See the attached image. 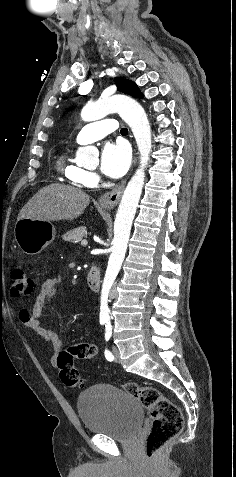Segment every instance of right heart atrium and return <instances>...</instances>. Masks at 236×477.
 <instances>
[{
	"label": "right heart atrium",
	"instance_id": "1",
	"mask_svg": "<svg viewBox=\"0 0 236 477\" xmlns=\"http://www.w3.org/2000/svg\"><path fill=\"white\" fill-rule=\"evenodd\" d=\"M98 176L95 173H89L87 184H93L97 181Z\"/></svg>",
	"mask_w": 236,
	"mask_h": 477
}]
</instances>
